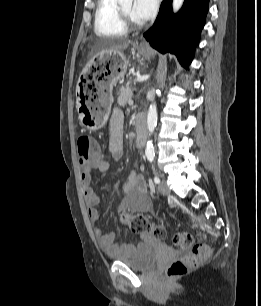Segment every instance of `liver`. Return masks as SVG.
<instances>
[{
  "label": "liver",
  "mask_w": 261,
  "mask_h": 306,
  "mask_svg": "<svg viewBox=\"0 0 261 306\" xmlns=\"http://www.w3.org/2000/svg\"><path fill=\"white\" fill-rule=\"evenodd\" d=\"M130 44H132V42L129 40L113 41L109 44H106L104 47H102L100 54L103 55L105 53L121 51V50L126 49Z\"/></svg>",
  "instance_id": "1"
}]
</instances>
